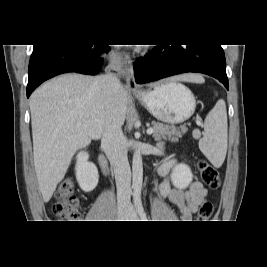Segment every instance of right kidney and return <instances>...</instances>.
Returning a JSON list of instances; mask_svg holds the SVG:
<instances>
[{"label":"right kidney","instance_id":"obj_1","mask_svg":"<svg viewBox=\"0 0 267 267\" xmlns=\"http://www.w3.org/2000/svg\"><path fill=\"white\" fill-rule=\"evenodd\" d=\"M76 158L75 171L78 184L83 191L90 192L95 189L98 184V169L94 163L88 161V152H79Z\"/></svg>","mask_w":267,"mask_h":267}]
</instances>
